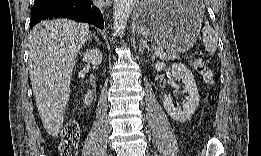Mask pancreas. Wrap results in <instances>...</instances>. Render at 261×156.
Masks as SVG:
<instances>
[{
	"label": "pancreas",
	"instance_id": "1",
	"mask_svg": "<svg viewBox=\"0 0 261 156\" xmlns=\"http://www.w3.org/2000/svg\"><path fill=\"white\" fill-rule=\"evenodd\" d=\"M163 59L165 60H173L175 58H177V54L175 51H168L167 54L162 56Z\"/></svg>",
	"mask_w": 261,
	"mask_h": 156
}]
</instances>
